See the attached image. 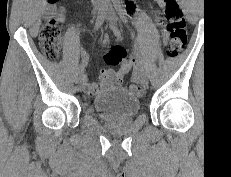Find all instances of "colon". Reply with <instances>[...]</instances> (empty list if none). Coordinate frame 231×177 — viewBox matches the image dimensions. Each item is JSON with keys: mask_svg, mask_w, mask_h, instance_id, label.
<instances>
[{"mask_svg": "<svg viewBox=\"0 0 231 177\" xmlns=\"http://www.w3.org/2000/svg\"><path fill=\"white\" fill-rule=\"evenodd\" d=\"M57 0H48L53 5ZM165 10L164 37L168 44L167 56L176 57L185 47L187 42V31L185 21L177 0H162ZM60 27L54 16H52L42 27L39 34V43L44 55L50 60L59 58L60 52ZM109 64H119L126 60L125 52L119 48H112L105 56ZM130 90L138 92L140 88L131 85Z\"/></svg>", "mask_w": 231, "mask_h": 177, "instance_id": "1", "label": "colon"}]
</instances>
